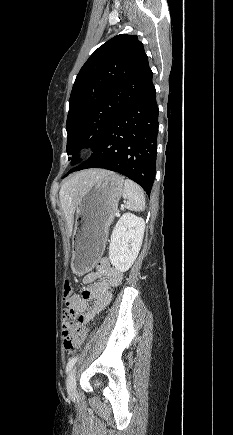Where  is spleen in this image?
Segmentation results:
<instances>
[{"instance_id": "obj_1", "label": "spleen", "mask_w": 233, "mask_h": 435, "mask_svg": "<svg viewBox=\"0 0 233 435\" xmlns=\"http://www.w3.org/2000/svg\"><path fill=\"white\" fill-rule=\"evenodd\" d=\"M123 198L125 207L132 211H142L145 207V194L143 189L130 179L124 182Z\"/></svg>"}]
</instances>
